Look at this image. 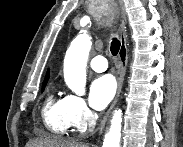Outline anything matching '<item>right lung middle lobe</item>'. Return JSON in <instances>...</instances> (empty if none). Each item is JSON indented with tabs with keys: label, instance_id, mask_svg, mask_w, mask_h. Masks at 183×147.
Returning a JSON list of instances; mask_svg holds the SVG:
<instances>
[{
	"label": "right lung middle lobe",
	"instance_id": "obj_1",
	"mask_svg": "<svg viewBox=\"0 0 183 147\" xmlns=\"http://www.w3.org/2000/svg\"><path fill=\"white\" fill-rule=\"evenodd\" d=\"M45 86H46V83H45V84H43V89L45 88Z\"/></svg>",
	"mask_w": 183,
	"mask_h": 147
}]
</instances>
